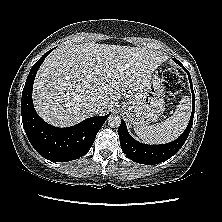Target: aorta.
I'll use <instances>...</instances> for the list:
<instances>
[{
  "label": "aorta",
  "instance_id": "762f6f07",
  "mask_svg": "<svg viewBox=\"0 0 222 222\" xmlns=\"http://www.w3.org/2000/svg\"><path fill=\"white\" fill-rule=\"evenodd\" d=\"M121 124V118L118 115H110L108 118V125L112 128L119 127Z\"/></svg>",
  "mask_w": 222,
  "mask_h": 222
}]
</instances>
